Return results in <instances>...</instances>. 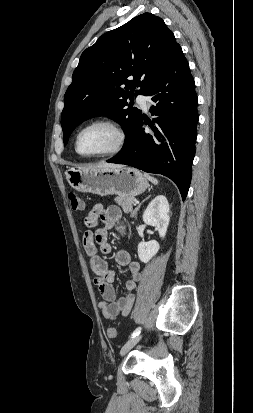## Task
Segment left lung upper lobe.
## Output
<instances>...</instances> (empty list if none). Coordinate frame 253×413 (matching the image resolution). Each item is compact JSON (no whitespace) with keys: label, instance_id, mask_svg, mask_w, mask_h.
I'll use <instances>...</instances> for the list:
<instances>
[{"label":"left lung upper lobe","instance_id":"left-lung-upper-lobe-1","mask_svg":"<svg viewBox=\"0 0 253 413\" xmlns=\"http://www.w3.org/2000/svg\"><path fill=\"white\" fill-rule=\"evenodd\" d=\"M180 45L164 21L151 13L134 17L103 34L81 55L64 97V145L81 122L110 116L125 130V149L136 136L142 113L127 99L148 95ZM140 87V90H136Z\"/></svg>","mask_w":253,"mask_h":413}]
</instances>
